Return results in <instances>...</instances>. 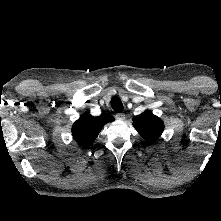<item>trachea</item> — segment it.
<instances>
[{
    "label": "trachea",
    "mask_w": 221,
    "mask_h": 221,
    "mask_svg": "<svg viewBox=\"0 0 221 221\" xmlns=\"http://www.w3.org/2000/svg\"><path fill=\"white\" fill-rule=\"evenodd\" d=\"M111 107L116 112H122L123 104H122V101L120 100L119 97H117V96L112 97V99H111Z\"/></svg>",
    "instance_id": "trachea-1"
}]
</instances>
